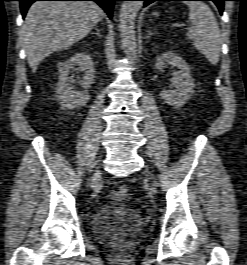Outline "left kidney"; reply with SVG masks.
<instances>
[{
  "mask_svg": "<svg viewBox=\"0 0 247 265\" xmlns=\"http://www.w3.org/2000/svg\"><path fill=\"white\" fill-rule=\"evenodd\" d=\"M168 65L179 69L173 80L177 89L175 91L162 90L160 96L169 105L180 108L187 103L194 93V79L190 74V68L186 61L172 51L156 58V69L162 71Z\"/></svg>",
  "mask_w": 247,
  "mask_h": 265,
  "instance_id": "5707ae66",
  "label": "left kidney"
}]
</instances>
